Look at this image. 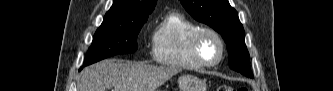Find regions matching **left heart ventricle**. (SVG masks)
<instances>
[{
    "label": "left heart ventricle",
    "mask_w": 333,
    "mask_h": 91,
    "mask_svg": "<svg viewBox=\"0 0 333 91\" xmlns=\"http://www.w3.org/2000/svg\"><path fill=\"white\" fill-rule=\"evenodd\" d=\"M220 53L217 40L210 34H205L200 40V54L207 62H214Z\"/></svg>",
    "instance_id": "1"
}]
</instances>
